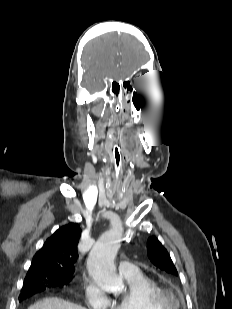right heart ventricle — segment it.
Returning a JSON list of instances; mask_svg holds the SVG:
<instances>
[{"label":"right heart ventricle","mask_w":232,"mask_h":309,"mask_svg":"<svg viewBox=\"0 0 232 309\" xmlns=\"http://www.w3.org/2000/svg\"><path fill=\"white\" fill-rule=\"evenodd\" d=\"M127 291L121 297L110 300L109 309H158L151 301V294L158 290L157 284L142 272L124 276Z\"/></svg>","instance_id":"e07e8e85"}]
</instances>
